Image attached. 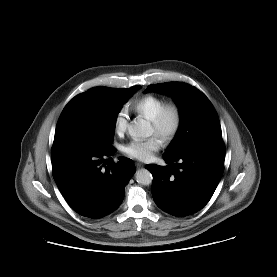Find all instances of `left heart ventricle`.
<instances>
[{"label": "left heart ventricle", "instance_id": "b2bd125f", "mask_svg": "<svg viewBox=\"0 0 277 277\" xmlns=\"http://www.w3.org/2000/svg\"><path fill=\"white\" fill-rule=\"evenodd\" d=\"M151 133L155 134V130H154L153 126H151Z\"/></svg>", "mask_w": 277, "mask_h": 277}]
</instances>
